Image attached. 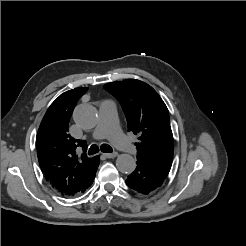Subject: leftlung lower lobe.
<instances>
[{
	"instance_id": "left-lung-lower-lobe-1",
	"label": "left lung lower lobe",
	"mask_w": 246,
	"mask_h": 246,
	"mask_svg": "<svg viewBox=\"0 0 246 246\" xmlns=\"http://www.w3.org/2000/svg\"><path fill=\"white\" fill-rule=\"evenodd\" d=\"M165 178V175L154 168L137 162V167L126 179V184L139 194L146 195L159 188Z\"/></svg>"
}]
</instances>
